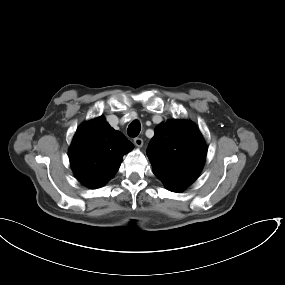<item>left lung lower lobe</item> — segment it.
I'll return each mask as SVG.
<instances>
[{
	"instance_id": "left-lung-lower-lobe-1",
	"label": "left lung lower lobe",
	"mask_w": 285,
	"mask_h": 285,
	"mask_svg": "<svg viewBox=\"0 0 285 285\" xmlns=\"http://www.w3.org/2000/svg\"><path fill=\"white\" fill-rule=\"evenodd\" d=\"M162 182L168 190L174 191V192H181L187 186H189L188 184L181 183V182H169V181H162Z\"/></svg>"
}]
</instances>
